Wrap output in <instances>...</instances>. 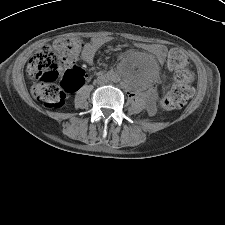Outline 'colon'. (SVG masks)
Wrapping results in <instances>:
<instances>
[{
  "mask_svg": "<svg viewBox=\"0 0 225 225\" xmlns=\"http://www.w3.org/2000/svg\"><path fill=\"white\" fill-rule=\"evenodd\" d=\"M82 43L77 37H61L52 45H44L29 61L27 75L37 81L32 86V94L46 108L62 107L68 92L77 90L84 84L86 72L76 66ZM167 65L173 73L174 83L163 94L159 106L165 110L180 109L193 95L190 86L193 75L189 69V60L184 52L172 50L168 55ZM61 70H64L65 75L57 83Z\"/></svg>",
  "mask_w": 225,
  "mask_h": 225,
  "instance_id": "5ec220e1",
  "label": "colon"
}]
</instances>
